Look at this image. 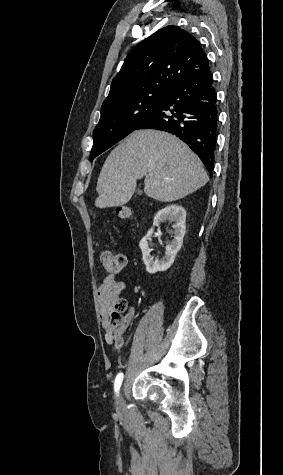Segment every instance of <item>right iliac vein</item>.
<instances>
[{
  "mask_svg": "<svg viewBox=\"0 0 283 475\" xmlns=\"http://www.w3.org/2000/svg\"><path fill=\"white\" fill-rule=\"evenodd\" d=\"M117 408H118V414L121 416L124 413V403L122 401L121 395L117 398Z\"/></svg>",
  "mask_w": 283,
  "mask_h": 475,
  "instance_id": "right-iliac-vein-1",
  "label": "right iliac vein"
}]
</instances>
